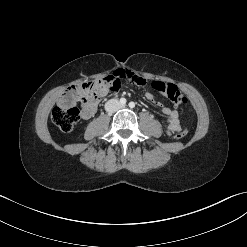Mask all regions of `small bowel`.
<instances>
[{
    "label": "small bowel",
    "mask_w": 247,
    "mask_h": 247,
    "mask_svg": "<svg viewBox=\"0 0 247 247\" xmlns=\"http://www.w3.org/2000/svg\"><path fill=\"white\" fill-rule=\"evenodd\" d=\"M114 77L119 78L120 80H130L132 81L135 76L131 71L125 69H118L113 73ZM141 86L145 85V83L140 84ZM118 89H113L109 87L102 88L99 91V96H105L109 93H114ZM145 96L149 101H154V96L150 92H145ZM97 106L96 104L92 106L86 105L84 102L82 103V118L89 119L91 118L96 112ZM161 112L164 116L167 117V134L171 135L180 130L181 124L179 119V114L177 110L171 109L169 107L162 106Z\"/></svg>",
    "instance_id": "obj_1"
}]
</instances>
